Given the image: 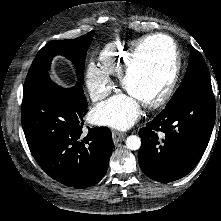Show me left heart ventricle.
<instances>
[{"label": "left heart ventricle", "mask_w": 221, "mask_h": 221, "mask_svg": "<svg viewBox=\"0 0 221 221\" xmlns=\"http://www.w3.org/2000/svg\"><path fill=\"white\" fill-rule=\"evenodd\" d=\"M171 66L170 43L164 38L152 39L142 48L129 76L128 94L140 103L149 100L168 80Z\"/></svg>", "instance_id": "1"}]
</instances>
